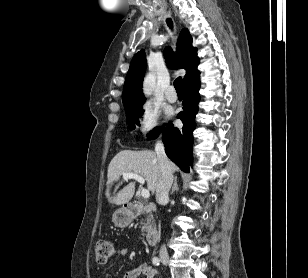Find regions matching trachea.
Returning a JSON list of instances; mask_svg holds the SVG:
<instances>
[{
  "mask_svg": "<svg viewBox=\"0 0 308 278\" xmlns=\"http://www.w3.org/2000/svg\"><path fill=\"white\" fill-rule=\"evenodd\" d=\"M167 24L170 28H172L173 23L171 21V19H167ZM174 87L176 89V92L178 94H183V80L181 77H178L175 81H174Z\"/></svg>",
  "mask_w": 308,
  "mask_h": 278,
  "instance_id": "3493384b",
  "label": "trachea"
}]
</instances>
